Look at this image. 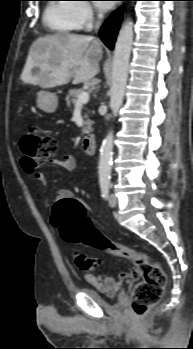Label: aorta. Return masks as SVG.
<instances>
[{"label": "aorta", "mask_w": 193, "mask_h": 349, "mask_svg": "<svg viewBox=\"0 0 193 349\" xmlns=\"http://www.w3.org/2000/svg\"><path fill=\"white\" fill-rule=\"evenodd\" d=\"M133 21L127 19L118 34L112 62V86L110 88V108L114 117L122 106L128 78L129 59L133 43ZM113 158V132L110 131L102 142L98 174L99 181H109Z\"/></svg>", "instance_id": "obj_1"}]
</instances>
